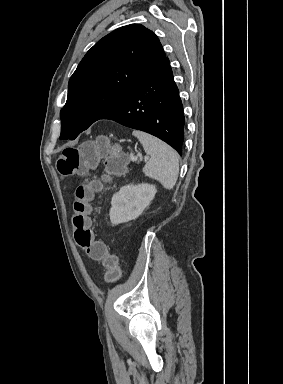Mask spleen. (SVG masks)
Returning a JSON list of instances; mask_svg holds the SVG:
<instances>
[{
	"label": "spleen",
	"instance_id": "obj_1",
	"mask_svg": "<svg viewBox=\"0 0 283 384\" xmlns=\"http://www.w3.org/2000/svg\"><path fill=\"white\" fill-rule=\"evenodd\" d=\"M132 136L138 138L147 156H150V160L143 168L145 176L158 180L166 190L174 188L179 174V162L175 150L162 140L145 132L134 130Z\"/></svg>",
	"mask_w": 283,
	"mask_h": 384
}]
</instances>
